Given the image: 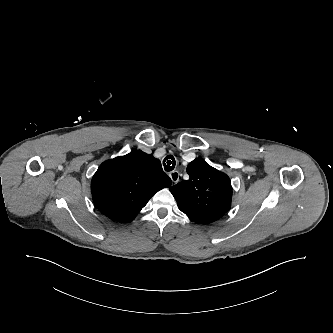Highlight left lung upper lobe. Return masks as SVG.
Wrapping results in <instances>:
<instances>
[{
	"label": "left lung upper lobe",
	"mask_w": 333,
	"mask_h": 333,
	"mask_svg": "<svg viewBox=\"0 0 333 333\" xmlns=\"http://www.w3.org/2000/svg\"><path fill=\"white\" fill-rule=\"evenodd\" d=\"M189 180H183L170 188L181 207L200 211L227 212L231 206L232 187L229 177L211 167L202 158L189 163Z\"/></svg>",
	"instance_id": "obj_1"
}]
</instances>
